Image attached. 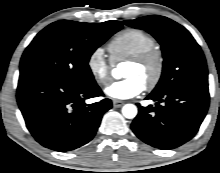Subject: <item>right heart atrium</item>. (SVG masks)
I'll return each instance as SVG.
<instances>
[{"label": "right heart atrium", "instance_id": "obj_1", "mask_svg": "<svg viewBox=\"0 0 220 173\" xmlns=\"http://www.w3.org/2000/svg\"><path fill=\"white\" fill-rule=\"evenodd\" d=\"M87 68L92 78L101 86L111 81L112 63L106 58L103 48H95L87 58Z\"/></svg>", "mask_w": 220, "mask_h": 173}]
</instances>
